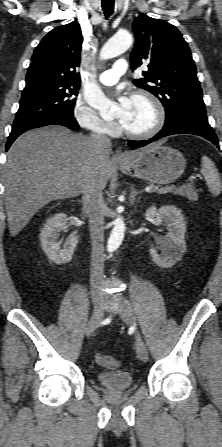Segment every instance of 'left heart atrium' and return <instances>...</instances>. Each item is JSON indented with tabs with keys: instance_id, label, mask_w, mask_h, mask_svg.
Returning <instances> with one entry per match:
<instances>
[{
	"instance_id": "39dd6f15",
	"label": "left heart atrium",
	"mask_w": 222,
	"mask_h": 447,
	"mask_svg": "<svg viewBox=\"0 0 222 447\" xmlns=\"http://www.w3.org/2000/svg\"><path fill=\"white\" fill-rule=\"evenodd\" d=\"M131 98L124 96V95H120L118 97L117 103H118V108H117V115H118V119L119 122L124 125L131 107Z\"/></svg>"
}]
</instances>
